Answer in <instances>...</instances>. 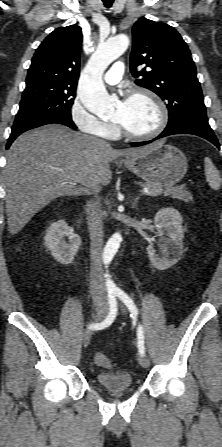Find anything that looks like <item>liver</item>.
I'll list each match as a JSON object with an SVG mask.
<instances>
[{
  "mask_svg": "<svg viewBox=\"0 0 222 447\" xmlns=\"http://www.w3.org/2000/svg\"><path fill=\"white\" fill-rule=\"evenodd\" d=\"M145 149L116 150L62 125H47L22 134L7 152L3 173L10 234H17L52 200L108 185L111 161L136 156Z\"/></svg>",
  "mask_w": 222,
  "mask_h": 447,
  "instance_id": "obj_1",
  "label": "liver"
}]
</instances>
